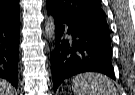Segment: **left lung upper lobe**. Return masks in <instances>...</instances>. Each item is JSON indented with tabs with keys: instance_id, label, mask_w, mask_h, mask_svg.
Listing matches in <instances>:
<instances>
[{
	"instance_id": "left-lung-upper-lobe-1",
	"label": "left lung upper lobe",
	"mask_w": 135,
	"mask_h": 95,
	"mask_svg": "<svg viewBox=\"0 0 135 95\" xmlns=\"http://www.w3.org/2000/svg\"><path fill=\"white\" fill-rule=\"evenodd\" d=\"M47 8L72 22L109 30L100 0H47Z\"/></svg>"
}]
</instances>
